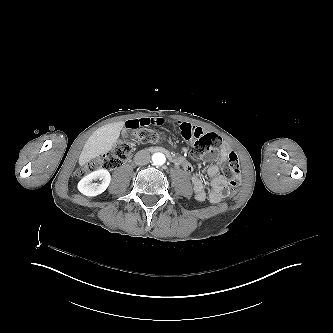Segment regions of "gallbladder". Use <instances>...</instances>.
Instances as JSON below:
<instances>
[{"label": "gallbladder", "instance_id": "1", "mask_svg": "<svg viewBox=\"0 0 333 333\" xmlns=\"http://www.w3.org/2000/svg\"><path fill=\"white\" fill-rule=\"evenodd\" d=\"M122 138H129L130 136V130L124 128L122 133H121Z\"/></svg>", "mask_w": 333, "mask_h": 333}]
</instances>
